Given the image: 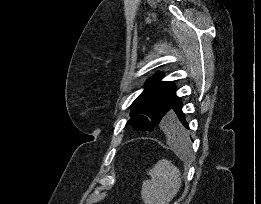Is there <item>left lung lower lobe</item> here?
Listing matches in <instances>:
<instances>
[{
    "label": "left lung lower lobe",
    "instance_id": "left-lung-lower-lobe-1",
    "mask_svg": "<svg viewBox=\"0 0 261 204\" xmlns=\"http://www.w3.org/2000/svg\"><path fill=\"white\" fill-rule=\"evenodd\" d=\"M186 129H189L182 112V102L179 97L175 100L168 119L163 123L162 129L175 141L183 140L186 137Z\"/></svg>",
    "mask_w": 261,
    "mask_h": 204
}]
</instances>
